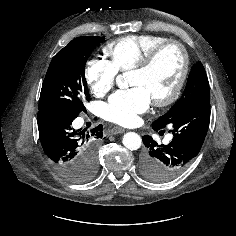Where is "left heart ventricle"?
Segmentation results:
<instances>
[{
    "mask_svg": "<svg viewBox=\"0 0 236 236\" xmlns=\"http://www.w3.org/2000/svg\"><path fill=\"white\" fill-rule=\"evenodd\" d=\"M182 54L176 46L163 50L153 65L143 72H131L130 85L145 88L152 99L167 96L173 89L182 68Z\"/></svg>",
    "mask_w": 236,
    "mask_h": 236,
    "instance_id": "obj_1",
    "label": "left heart ventricle"
}]
</instances>
